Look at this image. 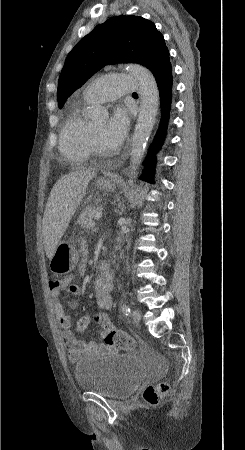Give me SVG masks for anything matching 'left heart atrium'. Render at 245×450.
<instances>
[{
  "label": "left heart atrium",
  "instance_id": "obj_1",
  "mask_svg": "<svg viewBox=\"0 0 245 450\" xmlns=\"http://www.w3.org/2000/svg\"><path fill=\"white\" fill-rule=\"evenodd\" d=\"M129 116L124 108H118L114 111L112 117L106 125V142L112 147H119L126 138L129 127Z\"/></svg>",
  "mask_w": 245,
  "mask_h": 450
}]
</instances>
